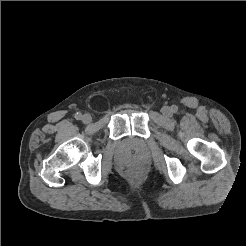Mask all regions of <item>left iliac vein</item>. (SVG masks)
Here are the masks:
<instances>
[{
	"label": "left iliac vein",
	"instance_id": "4c4485c4",
	"mask_svg": "<svg viewBox=\"0 0 246 246\" xmlns=\"http://www.w3.org/2000/svg\"><path fill=\"white\" fill-rule=\"evenodd\" d=\"M161 112L165 115V116H170L171 115V109L168 106H164L161 109Z\"/></svg>",
	"mask_w": 246,
	"mask_h": 246
}]
</instances>
